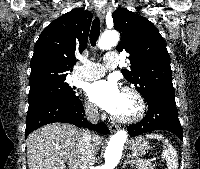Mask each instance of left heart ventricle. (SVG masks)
Here are the masks:
<instances>
[{
  "label": "left heart ventricle",
  "mask_w": 200,
  "mask_h": 169,
  "mask_svg": "<svg viewBox=\"0 0 200 169\" xmlns=\"http://www.w3.org/2000/svg\"><path fill=\"white\" fill-rule=\"evenodd\" d=\"M136 109L137 105L134 98L130 94L122 92L121 100L115 115L121 117L130 116L135 113Z\"/></svg>",
  "instance_id": "left-heart-ventricle-1"
}]
</instances>
